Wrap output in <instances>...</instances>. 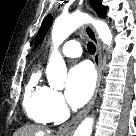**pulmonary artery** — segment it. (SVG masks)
<instances>
[{
    "instance_id": "1",
    "label": "pulmonary artery",
    "mask_w": 136,
    "mask_h": 136,
    "mask_svg": "<svg viewBox=\"0 0 136 136\" xmlns=\"http://www.w3.org/2000/svg\"><path fill=\"white\" fill-rule=\"evenodd\" d=\"M61 52L67 57H79L82 54V49L79 42L70 40L63 45Z\"/></svg>"
}]
</instances>
